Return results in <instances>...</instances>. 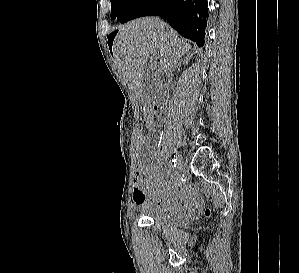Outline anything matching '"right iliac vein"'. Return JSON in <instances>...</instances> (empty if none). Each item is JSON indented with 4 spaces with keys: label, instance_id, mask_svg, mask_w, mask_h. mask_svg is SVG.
Listing matches in <instances>:
<instances>
[{
    "label": "right iliac vein",
    "instance_id": "right-iliac-vein-1",
    "mask_svg": "<svg viewBox=\"0 0 299 273\" xmlns=\"http://www.w3.org/2000/svg\"><path fill=\"white\" fill-rule=\"evenodd\" d=\"M174 158L176 160V165H177L178 170L179 171L182 170L183 164H184L182 156L178 152H175Z\"/></svg>",
    "mask_w": 299,
    "mask_h": 273
}]
</instances>
